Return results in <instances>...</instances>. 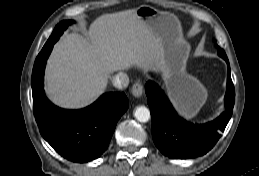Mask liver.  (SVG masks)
Instances as JSON below:
<instances>
[{"label": "liver", "instance_id": "6515ba94", "mask_svg": "<svg viewBox=\"0 0 259 176\" xmlns=\"http://www.w3.org/2000/svg\"><path fill=\"white\" fill-rule=\"evenodd\" d=\"M131 67L160 69L159 39L136 9L104 14L86 36L70 33L54 46L46 66V92L61 107L83 108L105 91L113 72Z\"/></svg>", "mask_w": 259, "mask_h": 176}]
</instances>
